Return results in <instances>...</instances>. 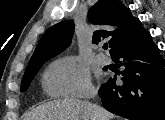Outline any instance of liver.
I'll list each match as a JSON object with an SVG mask.
<instances>
[{
	"mask_svg": "<svg viewBox=\"0 0 165 120\" xmlns=\"http://www.w3.org/2000/svg\"><path fill=\"white\" fill-rule=\"evenodd\" d=\"M114 115L88 101L58 99L39 105L25 120H112Z\"/></svg>",
	"mask_w": 165,
	"mask_h": 120,
	"instance_id": "1",
	"label": "liver"
}]
</instances>
